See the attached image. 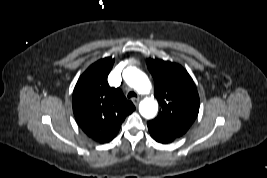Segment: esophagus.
Masks as SVG:
<instances>
[{"label":"esophagus","instance_id":"esophagus-1","mask_svg":"<svg viewBox=\"0 0 267 178\" xmlns=\"http://www.w3.org/2000/svg\"><path fill=\"white\" fill-rule=\"evenodd\" d=\"M139 101H140L139 98H132V102H133V104H134L135 106L138 105Z\"/></svg>","mask_w":267,"mask_h":178}]
</instances>
